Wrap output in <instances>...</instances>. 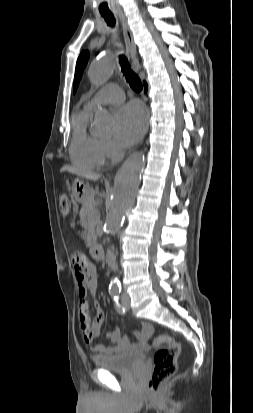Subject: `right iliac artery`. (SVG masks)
<instances>
[{
    "mask_svg": "<svg viewBox=\"0 0 253 413\" xmlns=\"http://www.w3.org/2000/svg\"><path fill=\"white\" fill-rule=\"evenodd\" d=\"M110 295L112 296L113 300L116 302L117 312L120 313V314H125V311H126L125 308L123 306H121L118 302L119 301V296H120V290H117V289L112 290L110 292Z\"/></svg>",
    "mask_w": 253,
    "mask_h": 413,
    "instance_id": "obj_1",
    "label": "right iliac artery"
}]
</instances>
